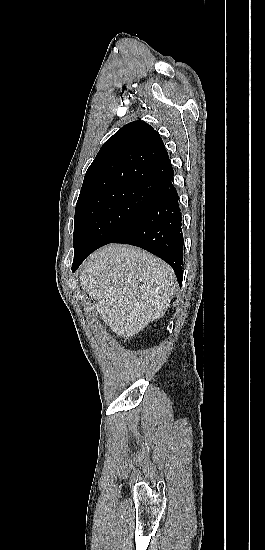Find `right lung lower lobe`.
Listing matches in <instances>:
<instances>
[{
  "instance_id": "1",
  "label": "right lung lower lobe",
  "mask_w": 265,
  "mask_h": 550,
  "mask_svg": "<svg viewBox=\"0 0 265 550\" xmlns=\"http://www.w3.org/2000/svg\"><path fill=\"white\" fill-rule=\"evenodd\" d=\"M173 172L166 177L151 203L137 220L110 243L141 247L166 261L183 280V233L177 191L172 185ZM89 254L73 266L74 272Z\"/></svg>"
}]
</instances>
